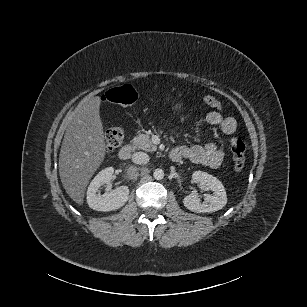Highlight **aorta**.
Listing matches in <instances>:
<instances>
[{
    "mask_svg": "<svg viewBox=\"0 0 307 307\" xmlns=\"http://www.w3.org/2000/svg\"><path fill=\"white\" fill-rule=\"evenodd\" d=\"M164 171L160 168L154 170L153 176L156 180H161L164 178Z\"/></svg>",
    "mask_w": 307,
    "mask_h": 307,
    "instance_id": "aorta-1",
    "label": "aorta"
}]
</instances>
